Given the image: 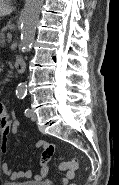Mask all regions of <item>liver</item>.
<instances>
[{"label": "liver", "mask_w": 119, "mask_h": 185, "mask_svg": "<svg viewBox=\"0 0 119 185\" xmlns=\"http://www.w3.org/2000/svg\"><path fill=\"white\" fill-rule=\"evenodd\" d=\"M12 8L9 6L5 0H0V16H6L11 14Z\"/></svg>", "instance_id": "1"}]
</instances>
